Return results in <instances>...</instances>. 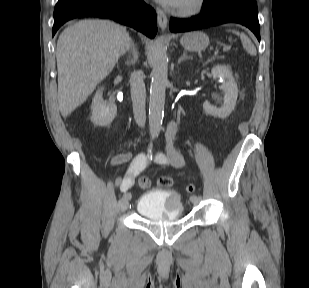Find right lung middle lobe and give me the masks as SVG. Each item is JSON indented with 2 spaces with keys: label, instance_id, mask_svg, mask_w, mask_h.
<instances>
[{
  "label": "right lung middle lobe",
  "instance_id": "right-lung-middle-lobe-1",
  "mask_svg": "<svg viewBox=\"0 0 309 288\" xmlns=\"http://www.w3.org/2000/svg\"><path fill=\"white\" fill-rule=\"evenodd\" d=\"M73 0H58L57 5H56V9L61 8L65 5H67L68 3H70Z\"/></svg>",
  "mask_w": 309,
  "mask_h": 288
}]
</instances>
